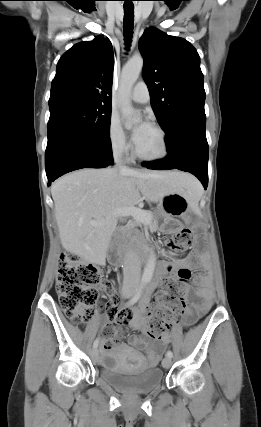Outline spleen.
Returning a JSON list of instances; mask_svg holds the SVG:
<instances>
[{"label":"spleen","instance_id":"obj_1","mask_svg":"<svg viewBox=\"0 0 261 427\" xmlns=\"http://www.w3.org/2000/svg\"><path fill=\"white\" fill-rule=\"evenodd\" d=\"M188 196L190 197L191 202L195 205L200 200L202 196V189L197 181L190 184V187L188 189Z\"/></svg>","mask_w":261,"mask_h":427}]
</instances>
